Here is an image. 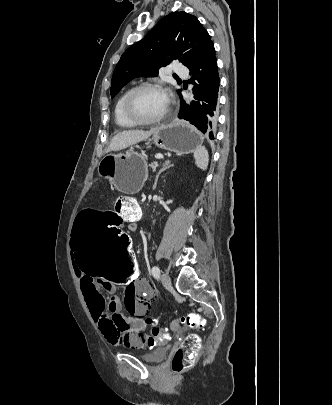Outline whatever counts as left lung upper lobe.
Segmentation results:
<instances>
[{
    "mask_svg": "<svg viewBox=\"0 0 332 405\" xmlns=\"http://www.w3.org/2000/svg\"><path fill=\"white\" fill-rule=\"evenodd\" d=\"M212 43L195 16L184 11L168 14L123 53L112 76L111 97L136 77L157 76L172 60L191 68Z\"/></svg>",
    "mask_w": 332,
    "mask_h": 405,
    "instance_id": "5c2ea615",
    "label": "left lung upper lobe"
}]
</instances>
